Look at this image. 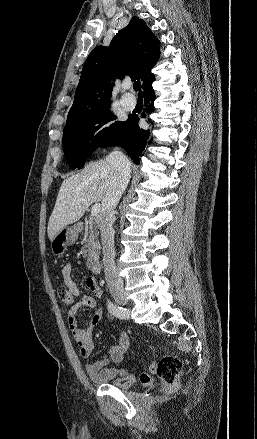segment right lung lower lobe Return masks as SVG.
<instances>
[{"label":"right lung lower lobe","instance_id":"1","mask_svg":"<svg viewBox=\"0 0 257 439\" xmlns=\"http://www.w3.org/2000/svg\"><path fill=\"white\" fill-rule=\"evenodd\" d=\"M154 80L155 78L151 79L144 88L145 111L147 114H151L154 111L155 94L152 89ZM138 121L139 118L137 116H129L123 131L113 141L103 147L112 145L122 146L134 160L135 164H139V157L143 154L145 147L151 143L153 138L149 129L144 130L139 128L137 125Z\"/></svg>","mask_w":257,"mask_h":439}]
</instances>
